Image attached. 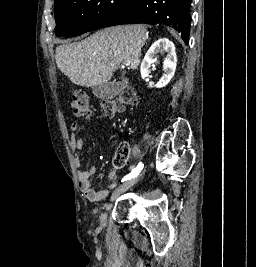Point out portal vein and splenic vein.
<instances>
[{
  "label": "portal vein and splenic vein",
  "mask_w": 256,
  "mask_h": 267,
  "mask_svg": "<svg viewBox=\"0 0 256 267\" xmlns=\"http://www.w3.org/2000/svg\"><path fill=\"white\" fill-rule=\"evenodd\" d=\"M125 66H130V64H125Z\"/></svg>",
  "instance_id": "obj_1"
}]
</instances>
